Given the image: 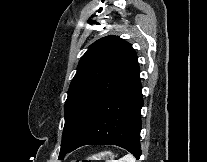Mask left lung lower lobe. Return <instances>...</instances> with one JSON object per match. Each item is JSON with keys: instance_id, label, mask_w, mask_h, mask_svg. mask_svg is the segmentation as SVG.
Segmentation results:
<instances>
[{"instance_id": "0a47b994", "label": "left lung lower lobe", "mask_w": 207, "mask_h": 162, "mask_svg": "<svg viewBox=\"0 0 207 162\" xmlns=\"http://www.w3.org/2000/svg\"><path fill=\"white\" fill-rule=\"evenodd\" d=\"M139 73L138 69L100 105L65 154L84 145L107 144L122 147L139 159L143 106ZM64 156L59 160H63Z\"/></svg>"}]
</instances>
